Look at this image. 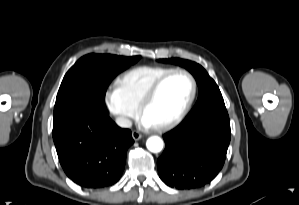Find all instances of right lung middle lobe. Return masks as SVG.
<instances>
[{"label":"right lung middle lobe","instance_id":"1","mask_svg":"<svg viewBox=\"0 0 299 205\" xmlns=\"http://www.w3.org/2000/svg\"><path fill=\"white\" fill-rule=\"evenodd\" d=\"M140 56L88 54L65 74L54 107V123L82 106L105 108V93L111 80L136 63Z\"/></svg>","mask_w":299,"mask_h":205}]
</instances>
